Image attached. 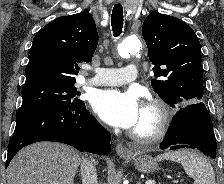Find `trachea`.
Masks as SVG:
<instances>
[{"label": "trachea", "instance_id": "trachea-1", "mask_svg": "<svg viewBox=\"0 0 224 184\" xmlns=\"http://www.w3.org/2000/svg\"><path fill=\"white\" fill-rule=\"evenodd\" d=\"M111 26L115 37L122 33L123 7L120 3L114 5L111 17Z\"/></svg>", "mask_w": 224, "mask_h": 184}]
</instances>
